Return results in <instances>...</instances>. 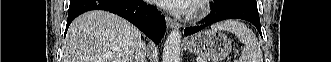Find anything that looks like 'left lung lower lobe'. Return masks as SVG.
<instances>
[{
	"instance_id": "0a47b994",
	"label": "left lung lower lobe",
	"mask_w": 331,
	"mask_h": 62,
	"mask_svg": "<svg viewBox=\"0 0 331 62\" xmlns=\"http://www.w3.org/2000/svg\"><path fill=\"white\" fill-rule=\"evenodd\" d=\"M215 10V14H210L202 20L204 22L203 25L188 27L184 30V34L188 36L216 22L233 18L243 19L252 23L261 34L257 4L245 0H232L222 5H215Z\"/></svg>"
}]
</instances>
